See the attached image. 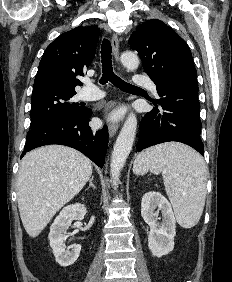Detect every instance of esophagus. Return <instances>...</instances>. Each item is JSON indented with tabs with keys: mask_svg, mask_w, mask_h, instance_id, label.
I'll return each mask as SVG.
<instances>
[{
	"mask_svg": "<svg viewBox=\"0 0 232 282\" xmlns=\"http://www.w3.org/2000/svg\"><path fill=\"white\" fill-rule=\"evenodd\" d=\"M111 43H112V51H113V55L116 59V61H118L119 59V37L117 34H113L112 38H111ZM118 130V123L117 122H110L108 125V131H109V135L110 137H113Z\"/></svg>",
	"mask_w": 232,
	"mask_h": 282,
	"instance_id": "34e87169",
	"label": "esophagus"
}]
</instances>
